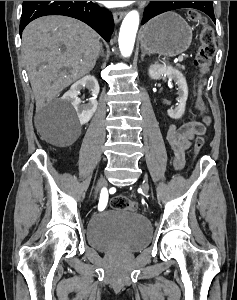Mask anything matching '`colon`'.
Listing matches in <instances>:
<instances>
[{"mask_svg": "<svg viewBox=\"0 0 237 300\" xmlns=\"http://www.w3.org/2000/svg\"><path fill=\"white\" fill-rule=\"evenodd\" d=\"M189 18L191 21L201 24L203 30L200 36V46L197 49L194 59L195 66L199 69L200 76L202 77L208 70L211 61L216 53V44L211 28L207 25L202 15L196 11L191 10L189 12ZM197 106L201 114L205 113V104L202 100V88L199 85L197 91ZM205 143L203 136H198L195 141L194 153L197 155ZM112 208L117 210L135 211L137 209V203L122 195L113 196L110 200Z\"/></svg>", "mask_w": 237, "mask_h": 300, "instance_id": "5ec220e1", "label": "colon"}]
</instances>
